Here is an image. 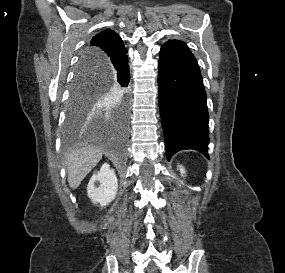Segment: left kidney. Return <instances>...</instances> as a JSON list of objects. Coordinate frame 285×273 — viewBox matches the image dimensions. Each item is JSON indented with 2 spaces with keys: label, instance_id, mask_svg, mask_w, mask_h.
Returning a JSON list of instances; mask_svg holds the SVG:
<instances>
[{
  "label": "left kidney",
  "instance_id": "left-kidney-1",
  "mask_svg": "<svg viewBox=\"0 0 285 273\" xmlns=\"http://www.w3.org/2000/svg\"><path fill=\"white\" fill-rule=\"evenodd\" d=\"M179 167V170H180V173H181V175L183 176L184 174H185V169H184V167L183 166H178Z\"/></svg>",
  "mask_w": 285,
  "mask_h": 273
}]
</instances>
